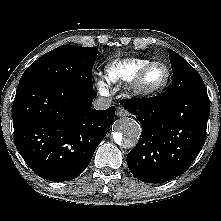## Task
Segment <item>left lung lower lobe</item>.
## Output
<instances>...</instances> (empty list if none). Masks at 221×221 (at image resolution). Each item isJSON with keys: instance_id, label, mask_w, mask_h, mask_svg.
<instances>
[{"instance_id": "obj_1", "label": "left lung lower lobe", "mask_w": 221, "mask_h": 221, "mask_svg": "<svg viewBox=\"0 0 221 221\" xmlns=\"http://www.w3.org/2000/svg\"><path fill=\"white\" fill-rule=\"evenodd\" d=\"M120 103L142 124L139 141L127 155L132 174L146 183H162L183 174L205 142L210 112L207 91Z\"/></svg>"}]
</instances>
